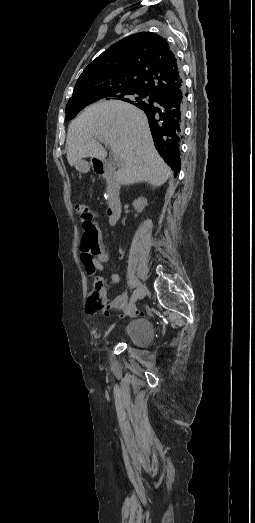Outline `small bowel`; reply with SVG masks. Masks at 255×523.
I'll return each mask as SVG.
<instances>
[{
	"label": "small bowel",
	"mask_w": 255,
	"mask_h": 523,
	"mask_svg": "<svg viewBox=\"0 0 255 523\" xmlns=\"http://www.w3.org/2000/svg\"><path fill=\"white\" fill-rule=\"evenodd\" d=\"M98 217L97 213H92V219L89 222L82 223L83 234L80 245V258L89 275H93L97 271H103L105 263L109 261V255L103 246L101 230L95 220ZM110 281L113 284H117L120 281V276L117 273H111ZM119 300L124 302L126 295L121 294Z\"/></svg>",
	"instance_id": "obj_1"
}]
</instances>
